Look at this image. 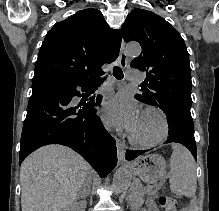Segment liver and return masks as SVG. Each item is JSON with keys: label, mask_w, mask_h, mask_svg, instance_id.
I'll list each match as a JSON object with an SVG mask.
<instances>
[{"label": "liver", "mask_w": 219, "mask_h": 211, "mask_svg": "<svg viewBox=\"0 0 219 211\" xmlns=\"http://www.w3.org/2000/svg\"><path fill=\"white\" fill-rule=\"evenodd\" d=\"M87 173H93L92 167L70 147H39L21 163L22 211L68 209L82 193Z\"/></svg>", "instance_id": "1"}]
</instances>
